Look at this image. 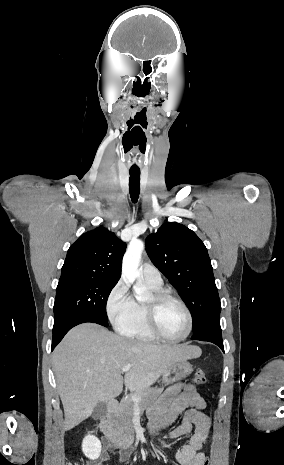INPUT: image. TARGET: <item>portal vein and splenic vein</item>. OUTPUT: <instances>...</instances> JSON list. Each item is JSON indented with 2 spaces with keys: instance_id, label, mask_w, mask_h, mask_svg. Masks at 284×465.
I'll list each match as a JSON object with an SVG mask.
<instances>
[{
  "instance_id": "18ae733b",
  "label": "portal vein and splenic vein",
  "mask_w": 284,
  "mask_h": 465,
  "mask_svg": "<svg viewBox=\"0 0 284 465\" xmlns=\"http://www.w3.org/2000/svg\"><path fill=\"white\" fill-rule=\"evenodd\" d=\"M129 369H131V367H122L121 371L122 373H128ZM132 401L134 403V407H139L141 399H138V397H132Z\"/></svg>"
}]
</instances>
